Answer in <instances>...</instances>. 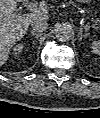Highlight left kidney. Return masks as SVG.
<instances>
[{
    "label": "left kidney",
    "mask_w": 100,
    "mask_h": 118,
    "mask_svg": "<svg viewBox=\"0 0 100 118\" xmlns=\"http://www.w3.org/2000/svg\"><path fill=\"white\" fill-rule=\"evenodd\" d=\"M92 51L95 53V54H98L100 52V43L98 41H94L92 43Z\"/></svg>",
    "instance_id": "5707ae66"
}]
</instances>
